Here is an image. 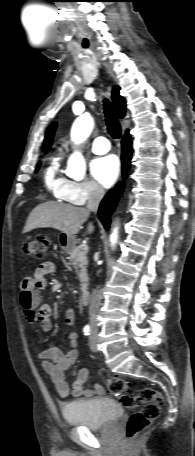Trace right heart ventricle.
<instances>
[{"mask_svg": "<svg viewBox=\"0 0 195 456\" xmlns=\"http://www.w3.org/2000/svg\"><path fill=\"white\" fill-rule=\"evenodd\" d=\"M44 186L56 199H65V189L69 180L60 171V157L54 156L49 161L43 174Z\"/></svg>", "mask_w": 195, "mask_h": 456, "instance_id": "right-heart-ventricle-1", "label": "right heart ventricle"}]
</instances>
